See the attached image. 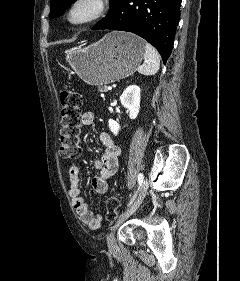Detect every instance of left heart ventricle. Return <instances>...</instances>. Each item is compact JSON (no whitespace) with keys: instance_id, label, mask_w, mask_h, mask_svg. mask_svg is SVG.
<instances>
[{"instance_id":"obj_1","label":"left heart ventricle","mask_w":240,"mask_h":281,"mask_svg":"<svg viewBox=\"0 0 240 281\" xmlns=\"http://www.w3.org/2000/svg\"><path fill=\"white\" fill-rule=\"evenodd\" d=\"M82 13H83V11H80V12L78 13V15H77V16H81V15H82Z\"/></svg>"}]
</instances>
